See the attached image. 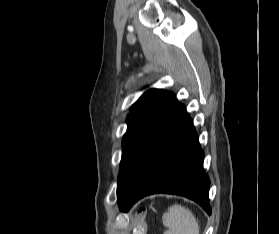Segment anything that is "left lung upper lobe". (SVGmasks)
I'll use <instances>...</instances> for the list:
<instances>
[{"mask_svg": "<svg viewBox=\"0 0 279 234\" xmlns=\"http://www.w3.org/2000/svg\"><path fill=\"white\" fill-rule=\"evenodd\" d=\"M166 94V91L159 89H150L146 91L138 101L132 105L131 112L127 116L128 128L122 142L123 152L117 185V199L122 211L123 206L120 199L121 191L129 175L140 143Z\"/></svg>", "mask_w": 279, "mask_h": 234, "instance_id": "obj_1", "label": "left lung upper lobe"}]
</instances>
